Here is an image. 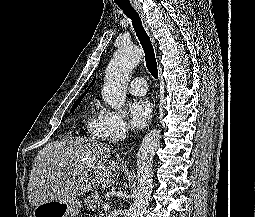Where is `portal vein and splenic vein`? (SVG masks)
Returning a JSON list of instances; mask_svg holds the SVG:
<instances>
[{"label": "portal vein and splenic vein", "instance_id": "1", "mask_svg": "<svg viewBox=\"0 0 255 217\" xmlns=\"http://www.w3.org/2000/svg\"><path fill=\"white\" fill-rule=\"evenodd\" d=\"M104 208H105V209L109 208V205L105 204V205H104Z\"/></svg>", "mask_w": 255, "mask_h": 217}]
</instances>
